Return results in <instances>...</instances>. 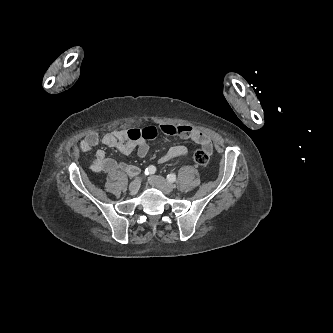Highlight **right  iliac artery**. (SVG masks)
<instances>
[{
  "label": "right iliac artery",
  "instance_id": "obj_1",
  "mask_svg": "<svg viewBox=\"0 0 333 333\" xmlns=\"http://www.w3.org/2000/svg\"><path fill=\"white\" fill-rule=\"evenodd\" d=\"M156 172V167L153 165H150L149 167L146 168L145 170V175H151Z\"/></svg>",
  "mask_w": 333,
  "mask_h": 333
}]
</instances>
